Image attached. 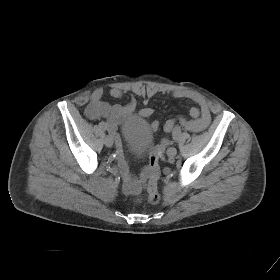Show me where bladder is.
I'll return each mask as SVG.
<instances>
[{
  "label": "bladder",
  "mask_w": 280,
  "mask_h": 280,
  "mask_svg": "<svg viewBox=\"0 0 280 280\" xmlns=\"http://www.w3.org/2000/svg\"><path fill=\"white\" fill-rule=\"evenodd\" d=\"M121 134L129 153L136 158L146 153L153 138L149 123L140 116L127 118L122 123Z\"/></svg>",
  "instance_id": "bladder-1"
}]
</instances>
